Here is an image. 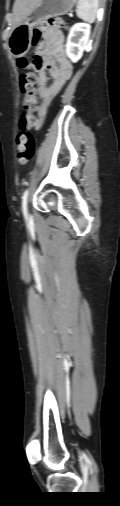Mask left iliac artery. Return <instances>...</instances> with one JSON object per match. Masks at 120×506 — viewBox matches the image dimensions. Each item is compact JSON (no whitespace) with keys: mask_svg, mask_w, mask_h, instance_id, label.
<instances>
[{"mask_svg":"<svg viewBox=\"0 0 120 506\" xmlns=\"http://www.w3.org/2000/svg\"><path fill=\"white\" fill-rule=\"evenodd\" d=\"M27 198H28V189L24 191L22 196V210L25 218H27Z\"/></svg>","mask_w":120,"mask_h":506,"instance_id":"44dca946","label":"left iliac artery"}]
</instances>
